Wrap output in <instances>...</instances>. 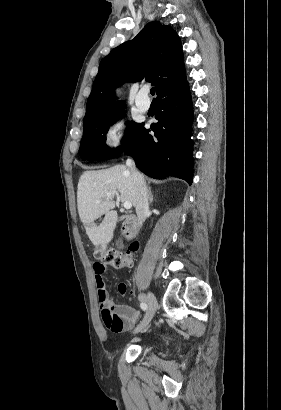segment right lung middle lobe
Returning a JSON list of instances; mask_svg holds the SVG:
<instances>
[{
  "label": "right lung middle lobe",
  "mask_w": 281,
  "mask_h": 410,
  "mask_svg": "<svg viewBox=\"0 0 281 410\" xmlns=\"http://www.w3.org/2000/svg\"><path fill=\"white\" fill-rule=\"evenodd\" d=\"M120 116V110L110 112L98 119L83 124V138L80 145V157L83 160L95 161L117 157L130 145L141 124L131 122L123 143L116 149L106 146V133L111 124Z\"/></svg>",
  "instance_id": "right-lung-middle-lobe-1"
}]
</instances>
